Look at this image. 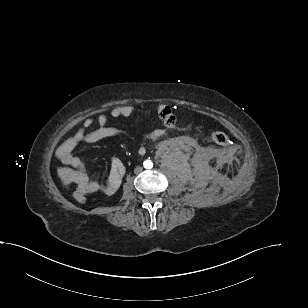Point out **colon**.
Listing matches in <instances>:
<instances>
[{"label": "colon", "instance_id": "colon-1", "mask_svg": "<svg viewBox=\"0 0 308 308\" xmlns=\"http://www.w3.org/2000/svg\"><path fill=\"white\" fill-rule=\"evenodd\" d=\"M159 116L162 120V122L165 125H173L174 121H175V117L174 114L172 113V111L169 108H165L163 110H161L159 112ZM211 139L213 142H215L218 145L221 146H225L228 145L229 143V139L227 137L226 134H224L223 132H219V131H215L211 133ZM87 193L84 192L81 189H76L73 193V196L75 198V200L79 203H85L87 200Z\"/></svg>", "mask_w": 308, "mask_h": 308}]
</instances>
